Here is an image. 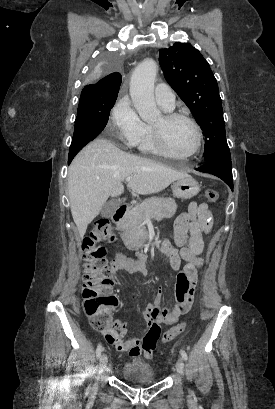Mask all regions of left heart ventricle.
I'll return each instance as SVG.
<instances>
[{"instance_id": "obj_1", "label": "left heart ventricle", "mask_w": 275, "mask_h": 409, "mask_svg": "<svg viewBox=\"0 0 275 409\" xmlns=\"http://www.w3.org/2000/svg\"><path fill=\"white\" fill-rule=\"evenodd\" d=\"M160 119L155 124H158ZM168 142L174 152L189 153L195 144V133L192 126L183 120L174 122L168 131Z\"/></svg>"}]
</instances>
